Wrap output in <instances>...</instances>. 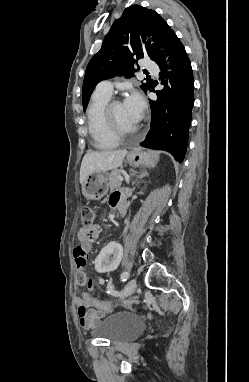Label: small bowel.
<instances>
[{
  "instance_id": "1",
  "label": "small bowel",
  "mask_w": 249,
  "mask_h": 382,
  "mask_svg": "<svg viewBox=\"0 0 249 382\" xmlns=\"http://www.w3.org/2000/svg\"><path fill=\"white\" fill-rule=\"evenodd\" d=\"M125 201L124 194L122 192H113L109 198V205L111 207H117L120 202ZM99 230L97 227L84 228L81 227L77 233V241H75V248H88L90 242L98 236ZM96 268V267H95ZM79 286H85L86 282H78ZM102 284L111 289L110 282L101 280ZM78 314L80 316V325L83 329H94L100 322L102 315L108 310L103 302L92 297L89 293H84L81 297L77 298Z\"/></svg>"
}]
</instances>
